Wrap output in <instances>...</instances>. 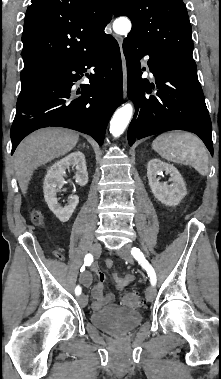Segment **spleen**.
I'll list each match as a JSON object with an SVG mask.
<instances>
[{
  "instance_id": "obj_1",
  "label": "spleen",
  "mask_w": 221,
  "mask_h": 379,
  "mask_svg": "<svg viewBox=\"0 0 221 379\" xmlns=\"http://www.w3.org/2000/svg\"><path fill=\"white\" fill-rule=\"evenodd\" d=\"M152 148L169 162L191 166L202 176L208 174V151L204 143L191 133H163L153 141Z\"/></svg>"
}]
</instances>
